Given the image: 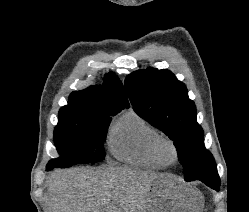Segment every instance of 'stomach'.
Returning a JSON list of instances; mask_svg holds the SVG:
<instances>
[{
    "mask_svg": "<svg viewBox=\"0 0 249 212\" xmlns=\"http://www.w3.org/2000/svg\"><path fill=\"white\" fill-rule=\"evenodd\" d=\"M149 204V212H202L204 196L179 180V175H156Z\"/></svg>",
    "mask_w": 249,
    "mask_h": 212,
    "instance_id": "obj_1",
    "label": "stomach"
}]
</instances>
